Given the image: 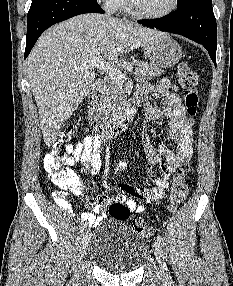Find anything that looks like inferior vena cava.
I'll list each match as a JSON object with an SVG mask.
<instances>
[{
	"instance_id": "602c4592",
	"label": "inferior vena cava",
	"mask_w": 233,
	"mask_h": 286,
	"mask_svg": "<svg viewBox=\"0 0 233 286\" xmlns=\"http://www.w3.org/2000/svg\"><path fill=\"white\" fill-rule=\"evenodd\" d=\"M104 91H105V86H103V88H102Z\"/></svg>"
}]
</instances>
